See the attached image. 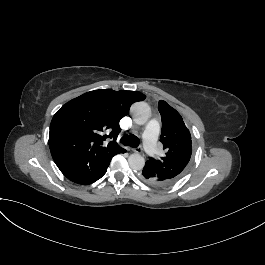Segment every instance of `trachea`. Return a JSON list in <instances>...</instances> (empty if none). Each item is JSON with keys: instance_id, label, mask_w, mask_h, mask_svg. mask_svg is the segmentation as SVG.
Returning a JSON list of instances; mask_svg holds the SVG:
<instances>
[{"instance_id": "1", "label": "trachea", "mask_w": 265, "mask_h": 265, "mask_svg": "<svg viewBox=\"0 0 265 265\" xmlns=\"http://www.w3.org/2000/svg\"><path fill=\"white\" fill-rule=\"evenodd\" d=\"M120 142L125 145V146H131V147H138L139 146V138H137L134 135H124L121 139Z\"/></svg>"}]
</instances>
